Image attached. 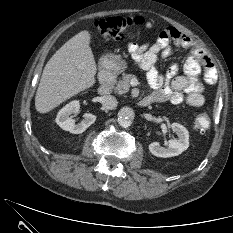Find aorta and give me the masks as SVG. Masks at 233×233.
Here are the masks:
<instances>
[{
  "instance_id": "1",
  "label": "aorta",
  "mask_w": 233,
  "mask_h": 233,
  "mask_svg": "<svg viewBox=\"0 0 233 233\" xmlns=\"http://www.w3.org/2000/svg\"><path fill=\"white\" fill-rule=\"evenodd\" d=\"M135 117L134 110L130 107H123L118 112V123L120 126L126 128L132 124Z\"/></svg>"
}]
</instances>
